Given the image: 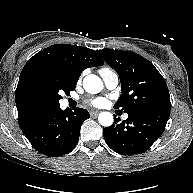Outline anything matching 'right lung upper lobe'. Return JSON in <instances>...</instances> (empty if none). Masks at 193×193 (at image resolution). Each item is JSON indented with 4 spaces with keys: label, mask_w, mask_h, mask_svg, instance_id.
<instances>
[{
    "label": "right lung upper lobe",
    "mask_w": 193,
    "mask_h": 193,
    "mask_svg": "<svg viewBox=\"0 0 193 193\" xmlns=\"http://www.w3.org/2000/svg\"><path fill=\"white\" fill-rule=\"evenodd\" d=\"M103 64L104 61L94 50L68 44L52 45L31 57L20 74L15 95L20 128L32 124L45 112L59 106L40 102L30 95L29 86L35 75L56 72L77 82L84 69Z\"/></svg>",
    "instance_id": "cb5924a9"
}]
</instances>
